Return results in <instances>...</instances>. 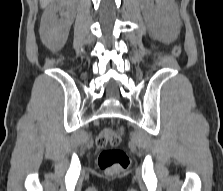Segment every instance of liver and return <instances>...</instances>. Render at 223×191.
Returning a JSON list of instances; mask_svg holds the SVG:
<instances>
[{
  "label": "liver",
  "instance_id": "1",
  "mask_svg": "<svg viewBox=\"0 0 223 191\" xmlns=\"http://www.w3.org/2000/svg\"><path fill=\"white\" fill-rule=\"evenodd\" d=\"M51 2H53V0H40V6H41V8H45Z\"/></svg>",
  "mask_w": 223,
  "mask_h": 191
}]
</instances>
